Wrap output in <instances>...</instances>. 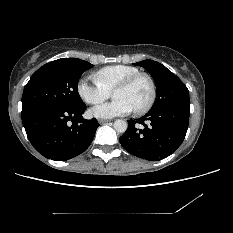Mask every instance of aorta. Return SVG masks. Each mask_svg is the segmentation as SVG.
<instances>
[{"instance_id": "1", "label": "aorta", "mask_w": 233, "mask_h": 233, "mask_svg": "<svg viewBox=\"0 0 233 233\" xmlns=\"http://www.w3.org/2000/svg\"><path fill=\"white\" fill-rule=\"evenodd\" d=\"M127 123L124 120L118 119L114 122V129L119 133H124L127 130Z\"/></svg>"}]
</instances>
